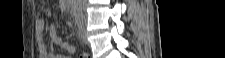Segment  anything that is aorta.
<instances>
[{"mask_svg": "<svg viewBox=\"0 0 225 58\" xmlns=\"http://www.w3.org/2000/svg\"><path fill=\"white\" fill-rule=\"evenodd\" d=\"M79 2H80V0H79ZM76 9H77V13H78L79 15H81V14H82V7H81L80 3L77 4Z\"/></svg>", "mask_w": 225, "mask_h": 58, "instance_id": "aorta-1", "label": "aorta"}]
</instances>
